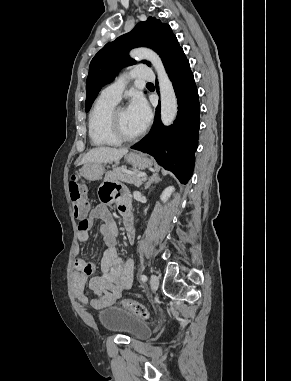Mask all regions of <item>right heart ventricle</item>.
Instances as JSON below:
<instances>
[{"label":"right heart ventricle","instance_id":"e07e8e85","mask_svg":"<svg viewBox=\"0 0 291 381\" xmlns=\"http://www.w3.org/2000/svg\"><path fill=\"white\" fill-rule=\"evenodd\" d=\"M117 101L99 96L88 116V135L95 147L117 146V141L109 132L108 117Z\"/></svg>","mask_w":291,"mask_h":381}]
</instances>
